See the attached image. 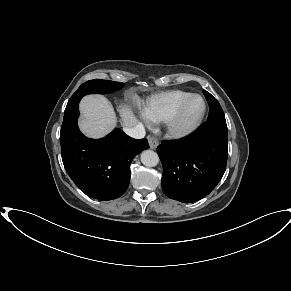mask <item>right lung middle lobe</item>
Listing matches in <instances>:
<instances>
[{"label": "right lung middle lobe", "mask_w": 291, "mask_h": 291, "mask_svg": "<svg viewBox=\"0 0 291 291\" xmlns=\"http://www.w3.org/2000/svg\"><path fill=\"white\" fill-rule=\"evenodd\" d=\"M123 86L120 82L110 80L94 79L82 84L72 95L66 106L64 115H78V104L81 98L87 94H107L119 90Z\"/></svg>", "instance_id": "right-lung-middle-lobe-1"}]
</instances>
